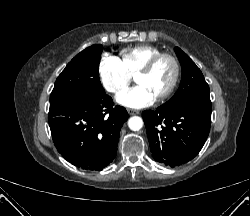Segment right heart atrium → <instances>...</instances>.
Listing matches in <instances>:
<instances>
[{
    "label": "right heart atrium",
    "instance_id": "1",
    "mask_svg": "<svg viewBox=\"0 0 250 216\" xmlns=\"http://www.w3.org/2000/svg\"><path fill=\"white\" fill-rule=\"evenodd\" d=\"M99 76L103 87L114 95L122 93L132 80V76L124 68L120 59L105 55L99 64Z\"/></svg>",
    "mask_w": 250,
    "mask_h": 216
}]
</instances>
